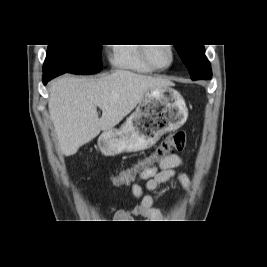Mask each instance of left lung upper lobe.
I'll return each mask as SVG.
<instances>
[{
	"label": "left lung upper lobe",
	"instance_id": "obj_1",
	"mask_svg": "<svg viewBox=\"0 0 267 267\" xmlns=\"http://www.w3.org/2000/svg\"><path fill=\"white\" fill-rule=\"evenodd\" d=\"M178 54L188 67L192 80L212 77L209 61L203 45H175Z\"/></svg>",
	"mask_w": 267,
	"mask_h": 267
}]
</instances>
